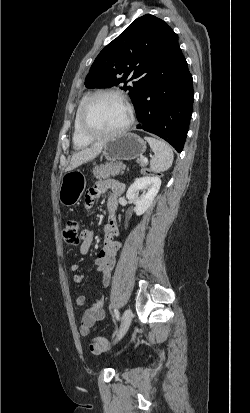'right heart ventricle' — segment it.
<instances>
[{"label": "right heart ventricle", "instance_id": "right-heart-ventricle-1", "mask_svg": "<svg viewBox=\"0 0 250 413\" xmlns=\"http://www.w3.org/2000/svg\"><path fill=\"white\" fill-rule=\"evenodd\" d=\"M89 95L88 94H84L78 104H77V108L75 111V115H74V120H73V133H72V141H73V145L76 148H83L86 147L87 145H89L92 142L91 138H88L87 136H85L81 129H80V124H79V119H80V112H81V108L85 102V100L87 99Z\"/></svg>", "mask_w": 250, "mask_h": 413}]
</instances>
